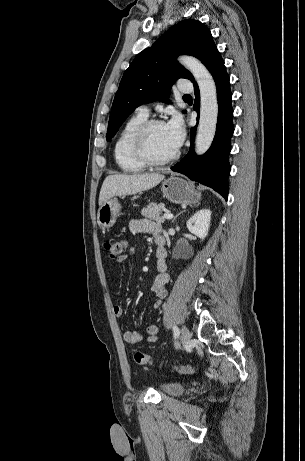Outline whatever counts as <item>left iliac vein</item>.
I'll use <instances>...</instances> for the list:
<instances>
[{"mask_svg":"<svg viewBox=\"0 0 305 461\" xmlns=\"http://www.w3.org/2000/svg\"><path fill=\"white\" fill-rule=\"evenodd\" d=\"M191 339V333L186 326L182 327L180 341L182 344H187Z\"/></svg>","mask_w":305,"mask_h":461,"instance_id":"obj_1","label":"left iliac vein"}]
</instances>
